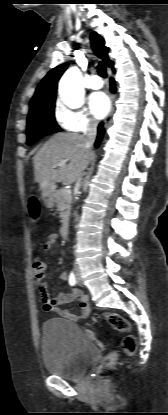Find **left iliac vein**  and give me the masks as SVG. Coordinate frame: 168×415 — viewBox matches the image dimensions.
Masks as SVG:
<instances>
[{
	"mask_svg": "<svg viewBox=\"0 0 168 415\" xmlns=\"http://www.w3.org/2000/svg\"><path fill=\"white\" fill-rule=\"evenodd\" d=\"M77 283H78V285H80V286H82V285H83V281H82V278H81V276H80V273H79V272L77 273Z\"/></svg>",
	"mask_w": 168,
	"mask_h": 415,
	"instance_id": "1",
	"label": "left iliac vein"
}]
</instances>
